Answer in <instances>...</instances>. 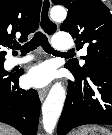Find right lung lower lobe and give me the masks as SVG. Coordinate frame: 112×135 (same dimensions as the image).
<instances>
[{
  "mask_svg": "<svg viewBox=\"0 0 112 135\" xmlns=\"http://www.w3.org/2000/svg\"><path fill=\"white\" fill-rule=\"evenodd\" d=\"M19 76L10 75L0 83V122L23 135H36L41 102L36 90L19 88Z\"/></svg>",
  "mask_w": 112,
  "mask_h": 135,
  "instance_id": "1",
  "label": "right lung lower lobe"
}]
</instances>
